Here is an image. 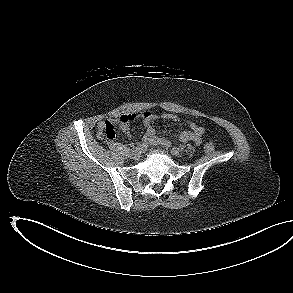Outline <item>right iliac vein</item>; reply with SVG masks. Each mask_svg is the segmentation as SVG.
Masks as SVG:
<instances>
[{
  "label": "right iliac vein",
  "instance_id": "1",
  "mask_svg": "<svg viewBox=\"0 0 293 293\" xmlns=\"http://www.w3.org/2000/svg\"><path fill=\"white\" fill-rule=\"evenodd\" d=\"M142 149L134 148L130 151V157L137 160L141 155Z\"/></svg>",
  "mask_w": 293,
  "mask_h": 293
}]
</instances>
